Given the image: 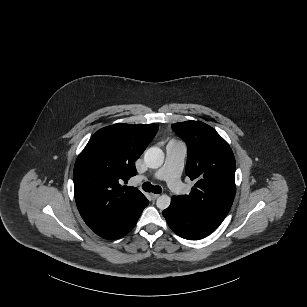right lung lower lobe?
<instances>
[{
  "mask_svg": "<svg viewBox=\"0 0 307 307\" xmlns=\"http://www.w3.org/2000/svg\"><path fill=\"white\" fill-rule=\"evenodd\" d=\"M149 201L144 196L129 207L121 216L116 219L92 229L97 235L106 239H117L130 232L137 223L143 209Z\"/></svg>",
  "mask_w": 307,
  "mask_h": 307,
  "instance_id": "right-lung-lower-lobe-1",
  "label": "right lung lower lobe"
}]
</instances>
